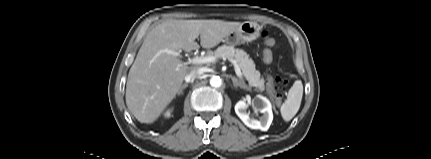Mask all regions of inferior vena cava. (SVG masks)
<instances>
[{
	"label": "inferior vena cava",
	"instance_id": "inferior-vena-cava-1",
	"mask_svg": "<svg viewBox=\"0 0 431 159\" xmlns=\"http://www.w3.org/2000/svg\"><path fill=\"white\" fill-rule=\"evenodd\" d=\"M202 73H203L202 68L193 69L185 76V81L190 82V81L196 79L197 77H199Z\"/></svg>",
	"mask_w": 431,
	"mask_h": 159
}]
</instances>
